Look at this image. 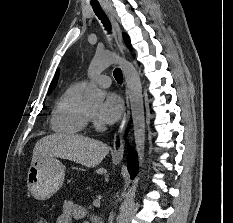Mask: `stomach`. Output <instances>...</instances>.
<instances>
[{
  "instance_id": "0dacf381",
  "label": "stomach",
  "mask_w": 233,
  "mask_h": 223,
  "mask_svg": "<svg viewBox=\"0 0 233 223\" xmlns=\"http://www.w3.org/2000/svg\"><path fill=\"white\" fill-rule=\"evenodd\" d=\"M64 179L65 165L60 159L54 155H41L28 169V191L34 199H50L62 187Z\"/></svg>"
}]
</instances>
